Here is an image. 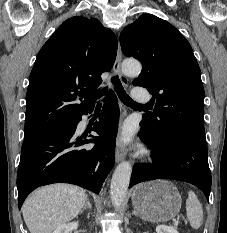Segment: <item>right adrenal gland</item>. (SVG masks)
I'll return each instance as SVG.
<instances>
[{"label": "right adrenal gland", "mask_w": 227, "mask_h": 233, "mask_svg": "<svg viewBox=\"0 0 227 233\" xmlns=\"http://www.w3.org/2000/svg\"><path fill=\"white\" fill-rule=\"evenodd\" d=\"M87 208H89L90 210L92 209L91 203H90L88 198H86V204L83 207V209L81 210L80 214H82Z\"/></svg>", "instance_id": "right-adrenal-gland-1"}]
</instances>
